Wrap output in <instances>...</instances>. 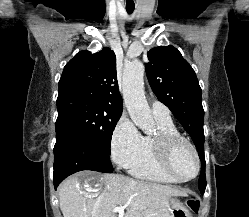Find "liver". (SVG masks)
<instances>
[{"label":"liver","instance_id":"obj_1","mask_svg":"<svg viewBox=\"0 0 249 217\" xmlns=\"http://www.w3.org/2000/svg\"><path fill=\"white\" fill-rule=\"evenodd\" d=\"M79 178L82 184L92 183L94 187L85 190ZM185 195L184 191L171 186L121 174L83 172L59 186L63 217H114L113 209L122 206L126 209L125 217H170L169 199Z\"/></svg>","mask_w":249,"mask_h":217}]
</instances>
